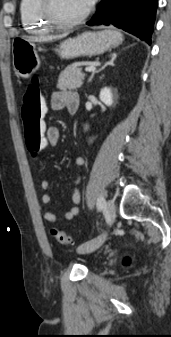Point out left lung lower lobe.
Wrapping results in <instances>:
<instances>
[{"label":"left lung lower lobe","mask_w":171,"mask_h":337,"mask_svg":"<svg viewBox=\"0 0 171 337\" xmlns=\"http://www.w3.org/2000/svg\"><path fill=\"white\" fill-rule=\"evenodd\" d=\"M158 0H101L87 25H114L151 44Z\"/></svg>","instance_id":"1"}]
</instances>
